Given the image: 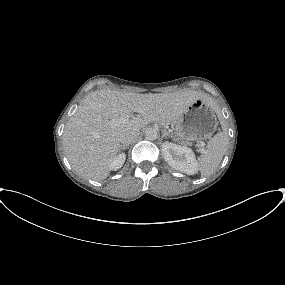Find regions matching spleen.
<instances>
[{"label":"spleen","mask_w":285,"mask_h":285,"mask_svg":"<svg viewBox=\"0 0 285 285\" xmlns=\"http://www.w3.org/2000/svg\"><path fill=\"white\" fill-rule=\"evenodd\" d=\"M228 146V135L226 131L219 132L213 136L208 144L207 150L197 160V167L202 177L209 176L219 166Z\"/></svg>","instance_id":"spleen-1"}]
</instances>
